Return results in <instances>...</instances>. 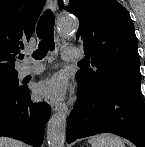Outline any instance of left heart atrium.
<instances>
[{
  "mask_svg": "<svg viewBox=\"0 0 145 147\" xmlns=\"http://www.w3.org/2000/svg\"><path fill=\"white\" fill-rule=\"evenodd\" d=\"M66 94V84L62 77L54 76L37 84L34 95L37 99L61 100Z\"/></svg>",
  "mask_w": 145,
  "mask_h": 147,
  "instance_id": "1",
  "label": "left heart atrium"
}]
</instances>
